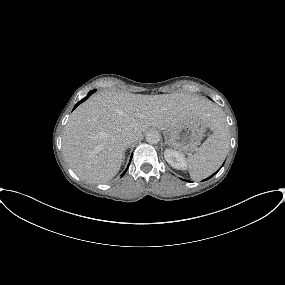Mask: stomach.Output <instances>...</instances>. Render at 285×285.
Here are the masks:
<instances>
[{
    "instance_id": "0dacf381",
    "label": "stomach",
    "mask_w": 285,
    "mask_h": 285,
    "mask_svg": "<svg viewBox=\"0 0 285 285\" xmlns=\"http://www.w3.org/2000/svg\"><path fill=\"white\" fill-rule=\"evenodd\" d=\"M208 123L201 117H194L167 130L168 143L183 152H194L200 144Z\"/></svg>"
}]
</instances>
